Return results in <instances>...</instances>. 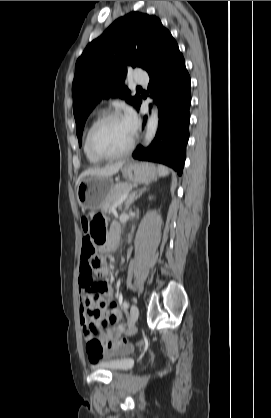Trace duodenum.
Masks as SVG:
<instances>
[{
	"instance_id": "duodenum-1",
	"label": "duodenum",
	"mask_w": 271,
	"mask_h": 418,
	"mask_svg": "<svg viewBox=\"0 0 271 418\" xmlns=\"http://www.w3.org/2000/svg\"><path fill=\"white\" fill-rule=\"evenodd\" d=\"M118 239H119V232L118 230H114L111 234L109 247H113L118 242Z\"/></svg>"
}]
</instances>
